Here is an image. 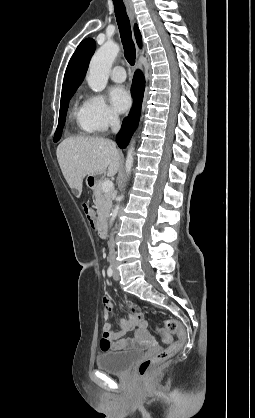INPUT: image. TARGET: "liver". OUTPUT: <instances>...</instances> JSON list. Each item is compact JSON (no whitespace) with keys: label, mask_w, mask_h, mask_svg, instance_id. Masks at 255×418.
<instances>
[{"label":"liver","mask_w":255,"mask_h":418,"mask_svg":"<svg viewBox=\"0 0 255 418\" xmlns=\"http://www.w3.org/2000/svg\"><path fill=\"white\" fill-rule=\"evenodd\" d=\"M57 159L69 187L79 198L85 176L100 175L107 169L109 177L120 167V153L116 144L101 137H69L57 147Z\"/></svg>","instance_id":"1"}]
</instances>
